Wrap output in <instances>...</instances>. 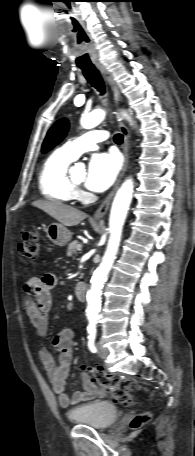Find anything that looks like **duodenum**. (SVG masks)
<instances>
[{"instance_id": "obj_1", "label": "duodenum", "mask_w": 195, "mask_h": 456, "mask_svg": "<svg viewBox=\"0 0 195 456\" xmlns=\"http://www.w3.org/2000/svg\"><path fill=\"white\" fill-rule=\"evenodd\" d=\"M75 295L79 301H85L87 296V286L84 282H78L75 286Z\"/></svg>"}]
</instances>
